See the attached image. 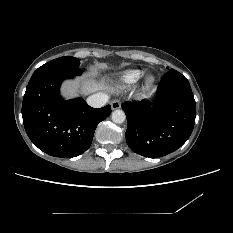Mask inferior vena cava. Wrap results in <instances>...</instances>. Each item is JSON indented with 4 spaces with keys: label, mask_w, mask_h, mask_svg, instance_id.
Here are the masks:
<instances>
[{
    "label": "inferior vena cava",
    "mask_w": 233,
    "mask_h": 233,
    "mask_svg": "<svg viewBox=\"0 0 233 233\" xmlns=\"http://www.w3.org/2000/svg\"><path fill=\"white\" fill-rule=\"evenodd\" d=\"M108 95L103 93H96L87 98V103L91 107L100 108L103 107L108 102Z\"/></svg>",
    "instance_id": "obj_1"
}]
</instances>
